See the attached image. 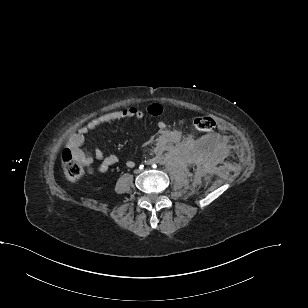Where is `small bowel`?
I'll return each instance as SVG.
<instances>
[{"label": "small bowel", "instance_id": "obj_1", "mask_svg": "<svg viewBox=\"0 0 308 308\" xmlns=\"http://www.w3.org/2000/svg\"><path fill=\"white\" fill-rule=\"evenodd\" d=\"M163 111L164 109L160 104L154 103L147 106L145 110L136 107H127L124 109L107 112L91 119L86 125L73 133L67 142V148L72 151L75 158L81 161L91 173L94 172V168L92 167L94 160L100 161L97 170L101 173H105L111 166L118 162V158L114 154L106 155L99 149H96L94 152H89L83 149L86 135L90 131L113 121L126 118L141 120L145 117V115L159 117L163 114ZM158 128L159 136L156 140V146L160 150L165 149L169 144L179 142L182 138L181 132L168 129L163 121L158 123ZM126 164L128 167H133L135 165L132 160L127 161Z\"/></svg>", "mask_w": 308, "mask_h": 308}]
</instances>
